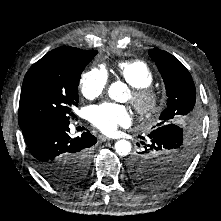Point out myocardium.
Masks as SVG:
<instances>
[{"label": "myocardium", "instance_id": "f54148a6", "mask_svg": "<svg viewBox=\"0 0 221 221\" xmlns=\"http://www.w3.org/2000/svg\"><path fill=\"white\" fill-rule=\"evenodd\" d=\"M131 101L140 116L152 118L162 109L163 95L161 91L152 86L133 88Z\"/></svg>", "mask_w": 221, "mask_h": 221}]
</instances>
